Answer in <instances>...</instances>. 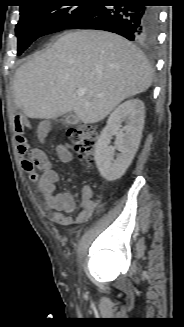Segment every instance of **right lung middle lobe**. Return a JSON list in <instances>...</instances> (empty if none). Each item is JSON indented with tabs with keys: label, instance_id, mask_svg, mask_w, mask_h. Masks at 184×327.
I'll use <instances>...</instances> for the list:
<instances>
[{
	"label": "right lung middle lobe",
	"instance_id": "obj_1",
	"mask_svg": "<svg viewBox=\"0 0 184 327\" xmlns=\"http://www.w3.org/2000/svg\"><path fill=\"white\" fill-rule=\"evenodd\" d=\"M43 1L20 10V20L15 28L20 55L38 37L61 31L83 19L93 5L86 6H44Z\"/></svg>",
	"mask_w": 184,
	"mask_h": 327
}]
</instances>
